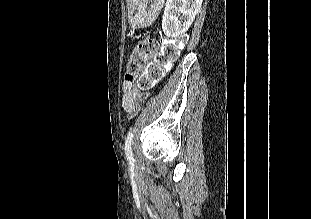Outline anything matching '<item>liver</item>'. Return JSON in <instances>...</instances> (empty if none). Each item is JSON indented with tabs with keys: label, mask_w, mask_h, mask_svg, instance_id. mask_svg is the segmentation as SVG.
Listing matches in <instances>:
<instances>
[{
	"label": "liver",
	"mask_w": 311,
	"mask_h": 219,
	"mask_svg": "<svg viewBox=\"0 0 311 219\" xmlns=\"http://www.w3.org/2000/svg\"><path fill=\"white\" fill-rule=\"evenodd\" d=\"M139 0H127L128 4H133V9L135 8V6L138 4ZM132 10H129V13H132Z\"/></svg>",
	"instance_id": "6515ba94"
}]
</instances>
